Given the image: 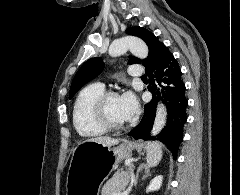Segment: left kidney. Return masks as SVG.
<instances>
[{
  "mask_svg": "<svg viewBox=\"0 0 240 195\" xmlns=\"http://www.w3.org/2000/svg\"><path fill=\"white\" fill-rule=\"evenodd\" d=\"M163 181V175H156V177H153L151 179L149 185L146 187V191H157V189H160Z\"/></svg>",
  "mask_w": 240,
  "mask_h": 195,
  "instance_id": "obj_1",
  "label": "left kidney"
}]
</instances>
